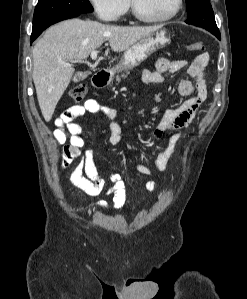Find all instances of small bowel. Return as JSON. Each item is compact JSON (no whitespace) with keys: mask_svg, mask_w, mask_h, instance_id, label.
<instances>
[{"mask_svg":"<svg viewBox=\"0 0 247 299\" xmlns=\"http://www.w3.org/2000/svg\"><path fill=\"white\" fill-rule=\"evenodd\" d=\"M209 62V54L202 52L198 54L187 67V73L194 78V82L183 79L178 84V92L182 96L189 98L179 106L167 109L155 127L154 135L161 138L168 130H178L187 128L193 121L197 110L207 98V88L205 82V67ZM187 66L185 60L160 59L154 70H144L142 81L145 84H159L164 81L166 73H176ZM85 113H101L111 121L109 142L118 146L122 142V126L117 119L116 110L112 107L102 105L95 99H87L82 104L73 105L67 108L59 118L55 120V130L53 137L58 144L64 145L61 153V167L69 166L75 159L78 163L70 174L71 183L83 193L89 196H98L102 193L112 195V207L121 209L127 200V193L124 182L118 173H112L107 182L98 172L94 153L90 149L84 150L85 141L82 137V127L75 122L77 117ZM180 135L173 134L166 147L149 164H138V173L148 176L153 171H163L167 166V160L174 152ZM68 142V143H67ZM67 143V144H66ZM149 191H154L156 184L153 181L146 183ZM97 209L106 210L108 204L99 202ZM90 208L82 209L89 211Z\"/></svg>","mask_w":247,"mask_h":299,"instance_id":"obj_1","label":"small bowel"}]
</instances>
